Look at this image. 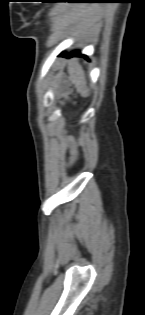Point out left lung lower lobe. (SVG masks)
Returning <instances> with one entry per match:
<instances>
[{"mask_svg": "<svg viewBox=\"0 0 145 315\" xmlns=\"http://www.w3.org/2000/svg\"><path fill=\"white\" fill-rule=\"evenodd\" d=\"M62 56H66V57H73V56H80V52L78 51H74V52H71L70 54L68 55H65L64 53L61 54Z\"/></svg>", "mask_w": 145, "mask_h": 315, "instance_id": "obj_1", "label": "left lung lower lobe"}]
</instances>
